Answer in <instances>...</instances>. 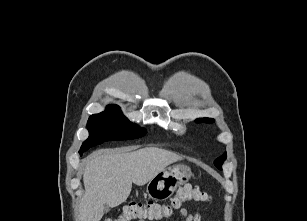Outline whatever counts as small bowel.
<instances>
[{
	"instance_id": "obj_1",
	"label": "small bowel",
	"mask_w": 307,
	"mask_h": 221,
	"mask_svg": "<svg viewBox=\"0 0 307 221\" xmlns=\"http://www.w3.org/2000/svg\"><path fill=\"white\" fill-rule=\"evenodd\" d=\"M179 215L183 221H201V217L199 214H191L185 208H181L179 210Z\"/></svg>"
}]
</instances>
